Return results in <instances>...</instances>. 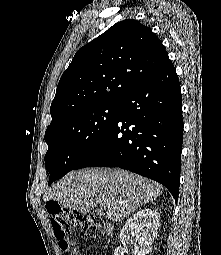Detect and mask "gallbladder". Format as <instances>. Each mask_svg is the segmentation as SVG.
Segmentation results:
<instances>
[{
    "instance_id": "1",
    "label": "gallbladder",
    "mask_w": 221,
    "mask_h": 255,
    "mask_svg": "<svg viewBox=\"0 0 221 255\" xmlns=\"http://www.w3.org/2000/svg\"><path fill=\"white\" fill-rule=\"evenodd\" d=\"M95 213L98 214V215H101V214H102V212L99 211V210H95Z\"/></svg>"
}]
</instances>
